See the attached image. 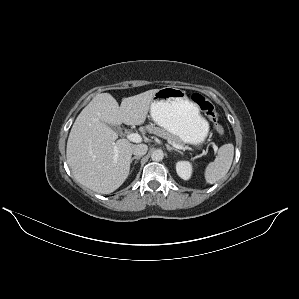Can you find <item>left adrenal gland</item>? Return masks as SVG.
Listing matches in <instances>:
<instances>
[{
	"mask_svg": "<svg viewBox=\"0 0 299 299\" xmlns=\"http://www.w3.org/2000/svg\"><path fill=\"white\" fill-rule=\"evenodd\" d=\"M167 150L170 152V151H176V152H178V153H181L179 150H177V149H175V148H173V147H171V146H169V145H167Z\"/></svg>",
	"mask_w": 299,
	"mask_h": 299,
	"instance_id": "a2214340",
	"label": "left adrenal gland"
}]
</instances>
